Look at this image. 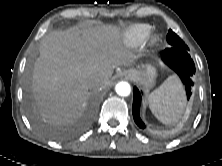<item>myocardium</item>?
Returning <instances> with one entry per match:
<instances>
[{
	"label": "myocardium",
	"mask_w": 222,
	"mask_h": 166,
	"mask_svg": "<svg viewBox=\"0 0 222 166\" xmlns=\"http://www.w3.org/2000/svg\"><path fill=\"white\" fill-rule=\"evenodd\" d=\"M159 41V35L157 34H149L147 37V44L149 46L155 45Z\"/></svg>",
	"instance_id": "obj_1"
}]
</instances>
